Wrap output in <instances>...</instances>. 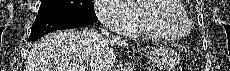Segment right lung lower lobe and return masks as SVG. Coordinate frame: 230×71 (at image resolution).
<instances>
[{
	"mask_svg": "<svg viewBox=\"0 0 230 71\" xmlns=\"http://www.w3.org/2000/svg\"><path fill=\"white\" fill-rule=\"evenodd\" d=\"M97 20V18L90 16L75 14L37 16L32 25L29 41L35 42L45 34L55 30L88 26Z\"/></svg>",
	"mask_w": 230,
	"mask_h": 71,
	"instance_id": "right-lung-lower-lobe-1",
	"label": "right lung lower lobe"
}]
</instances>
